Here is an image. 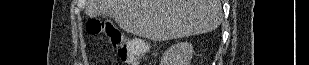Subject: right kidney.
I'll return each mask as SVG.
<instances>
[{"mask_svg": "<svg viewBox=\"0 0 309 65\" xmlns=\"http://www.w3.org/2000/svg\"><path fill=\"white\" fill-rule=\"evenodd\" d=\"M193 46L189 42H178L168 48L162 58L161 65H190Z\"/></svg>", "mask_w": 309, "mask_h": 65, "instance_id": "1", "label": "right kidney"}]
</instances>
